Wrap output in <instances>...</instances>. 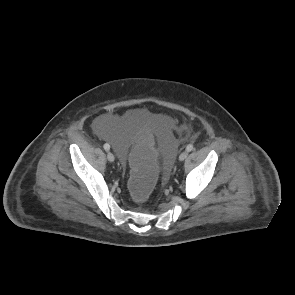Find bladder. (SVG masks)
I'll return each instance as SVG.
<instances>
[{"label": "bladder", "instance_id": "obj_1", "mask_svg": "<svg viewBox=\"0 0 295 295\" xmlns=\"http://www.w3.org/2000/svg\"><path fill=\"white\" fill-rule=\"evenodd\" d=\"M140 119H145L151 123L154 139L161 148L158 156L161 161L160 171L165 176L170 175L173 171L172 162L177 158L176 151L179 143L174 136H171L172 121L168 117L138 111L130 112L126 115L124 122L120 124L112 115L104 114L94 120L93 129L101 142L114 144L112 148L113 155L119 158L123 168H128L131 159L130 148L133 144L131 128Z\"/></svg>", "mask_w": 295, "mask_h": 295}]
</instances>
